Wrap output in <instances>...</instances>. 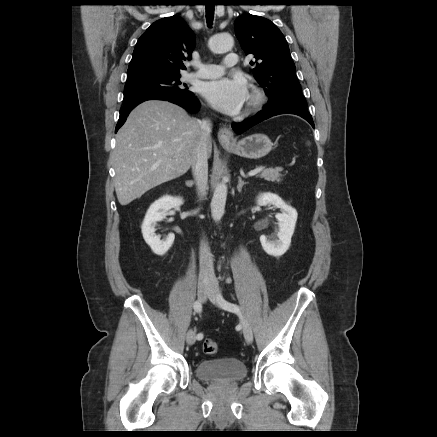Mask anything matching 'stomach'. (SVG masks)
Returning <instances> with one entry per match:
<instances>
[{"label": "stomach", "instance_id": "1", "mask_svg": "<svg viewBox=\"0 0 437 437\" xmlns=\"http://www.w3.org/2000/svg\"><path fill=\"white\" fill-rule=\"evenodd\" d=\"M223 146L240 157L260 159L272 150L273 143L265 134H252L237 143L224 144Z\"/></svg>", "mask_w": 437, "mask_h": 437}]
</instances>
